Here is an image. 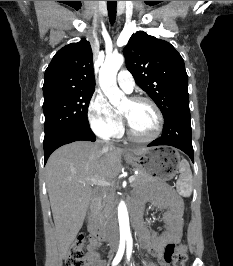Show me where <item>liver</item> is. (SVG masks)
<instances>
[{"label": "liver", "mask_w": 233, "mask_h": 266, "mask_svg": "<svg viewBox=\"0 0 233 266\" xmlns=\"http://www.w3.org/2000/svg\"><path fill=\"white\" fill-rule=\"evenodd\" d=\"M146 148L131 150L141 154ZM125 150L102 142L76 141L57 149L46 164L47 189L50 199L60 261L80 231L92 188L91 177L112 180L122 169L121 155Z\"/></svg>", "instance_id": "obj_1"}]
</instances>
